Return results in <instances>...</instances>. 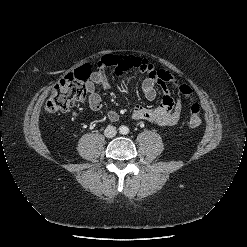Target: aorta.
<instances>
[{
	"instance_id": "obj_1",
	"label": "aorta",
	"mask_w": 247,
	"mask_h": 247,
	"mask_svg": "<svg viewBox=\"0 0 247 247\" xmlns=\"http://www.w3.org/2000/svg\"><path fill=\"white\" fill-rule=\"evenodd\" d=\"M128 131H129L128 127H126V126H121L120 127V133L121 134H127Z\"/></svg>"
}]
</instances>
